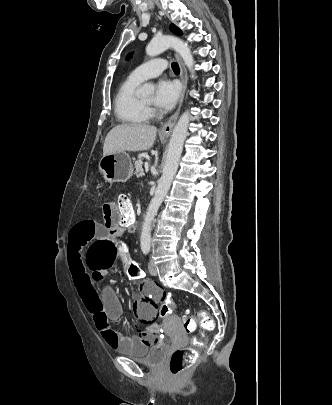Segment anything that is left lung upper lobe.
<instances>
[{
  "label": "left lung upper lobe",
  "mask_w": 332,
  "mask_h": 405,
  "mask_svg": "<svg viewBox=\"0 0 332 405\" xmlns=\"http://www.w3.org/2000/svg\"><path fill=\"white\" fill-rule=\"evenodd\" d=\"M170 30H171L173 33H175V34H178V35H181V34H182L181 30L178 29L175 25H171V26H170Z\"/></svg>",
  "instance_id": "5c2ea615"
}]
</instances>
